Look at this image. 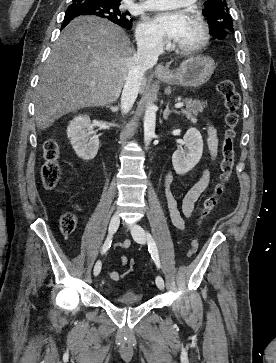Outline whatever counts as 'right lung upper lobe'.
Here are the masks:
<instances>
[{
	"label": "right lung upper lobe",
	"mask_w": 276,
	"mask_h": 363,
	"mask_svg": "<svg viewBox=\"0 0 276 363\" xmlns=\"http://www.w3.org/2000/svg\"><path fill=\"white\" fill-rule=\"evenodd\" d=\"M102 1H109V2L120 3L121 0H102ZM122 27H125V26H122Z\"/></svg>",
	"instance_id": "right-lung-upper-lobe-1"
}]
</instances>
